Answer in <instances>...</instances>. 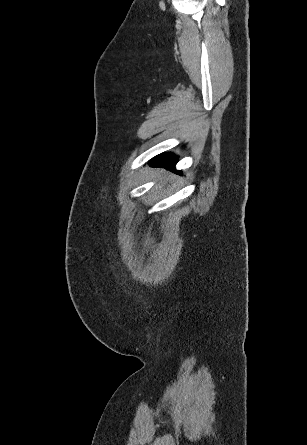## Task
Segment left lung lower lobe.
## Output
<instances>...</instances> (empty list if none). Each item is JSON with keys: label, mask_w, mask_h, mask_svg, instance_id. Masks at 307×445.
Listing matches in <instances>:
<instances>
[{"label": "left lung lower lobe", "mask_w": 307, "mask_h": 445, "mask_svg": "<svg viewBox=\"0 0 307 445\" xmlns=\"http://www.w3.org/2000/svg\"><path fill=\"white\" fill-rule=\"evenodd\" d=\"M176 162H177V158L174 155L168 154V153H163V154H160V155L154 157L153 159H151L149 161V164L152 167H164L166 169L174 171L177 174L182 175L180 171H175V169H174Z\"/></svg>", "instance_id": "0a47b994"}]
</instances>
